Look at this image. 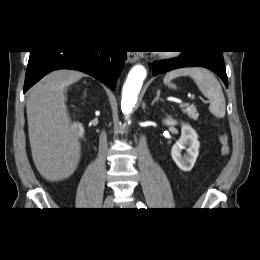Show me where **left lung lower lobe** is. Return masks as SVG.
I'll return each mask as SVG.
<instances>
[{"instance_id": "obj_1", "label": "left lung lower lobe", "mask_w": 260, "mask_h": 260, "mask_svg": "<svg viewBox=\"0 0 260 260\" xmlns=\"http://www.w3.org/2000/svg\"><path fill=\"white\" fill-rule=\"evenodd\" d=\"M204 67L216 73L228 87V80L220 50L189 51L171 60L157 61L153 63V75L168 72L182 67Z\"/></svg>"}]
</instances>
